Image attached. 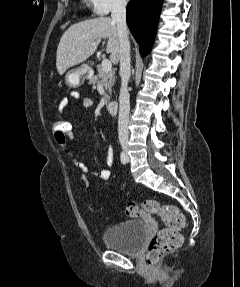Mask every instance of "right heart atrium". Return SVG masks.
<instances>
[{
  "instance_id": "obj_1",
  "label": "right heart atrium",
  "mask_w": 240,
  "mask_h": 287,
  "mask_svg": "<svg viewBox=\"0 0 240 287\" xmlns=\"http://www.w3.org/2000/svg\"><path fill=\"white\" fill-rule=\"evenodd\" d=\"M93 13L97 16H105L113 10L125 6L126 0H88Z\"/></svg>"
}]
</instances>
